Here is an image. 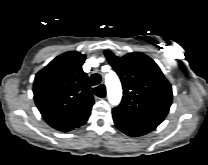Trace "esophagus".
I'll return each instance as SVG.
<instances>
[{"label":"esophagus","mask_w":208,"mask_h":165,"mask_svg":"<svg viewBox=\"0 0 208 165\" xmlns=\"http://www.w3.org/2000/svg\"><path fill=\"white\" fill-rule=\"evenodd\" d=\"M101 85H102V86H103V88L105 89V96H104L103 98H101V99H104V98H106V97H107V93H106V86H105V84H104V83H102Z\"/></svg>","instance_id":"obj_1"}]
</instances>
